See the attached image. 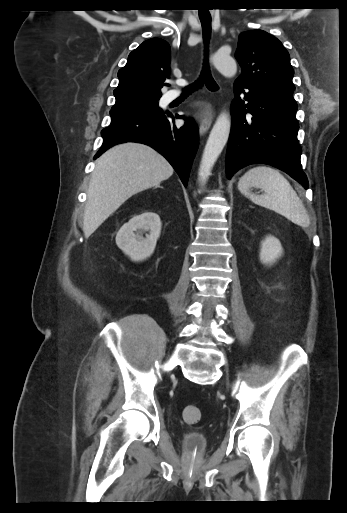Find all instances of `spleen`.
<instances>
[{"mask_svg": "<svg viewBox=\"0 0 347 513\" xmlns=\"http://www.w3.org/2000/svg\"><path fill=\"white\" fill-rule=\"evenodd\" d=\"M264 191L258 195L250 188ZM238 189L253 203L275 211L288 220L307 227L310 223L307 211L289 181L276 169L257 166L248 170L239 180Z\"/></svg>", "mask_w": 347, "mask_h": 513, "instance_id": "spleen-1", "label": "spleen"}]
</instances>
